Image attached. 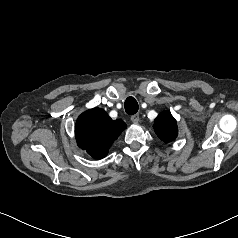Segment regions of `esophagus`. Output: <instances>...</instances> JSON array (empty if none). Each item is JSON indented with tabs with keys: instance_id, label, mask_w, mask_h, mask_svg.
Returning a JSON list of instances; mask_svg holds the SVG:
<instances>
[{
	"instance_id": "obj_1",
	"label": "esophagus",
	"mask_w": 238,
	"mask_h": 238,
	"mask_svg": "<svg viewBox=\"0 0 238 238\" xmlns=\"http://www.w3.org/2000/svg\"><path fill=\"white\" fill-rule=\"evenodd\" d=\"M131 121L134 123V124H137L139 121H140V117H139V114H134L131 116Z\"/></svg>"
}]
</instances>
